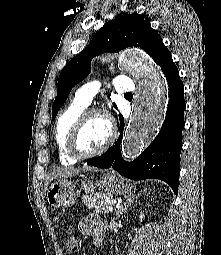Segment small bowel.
I'll list each match as a JSON object with an SVG mask.
<instances>
[{
	"label": "small bowel",
	"mask_w": 221,
	"mask_h": 255,
	"mask_svg": "<svg viewBox=\"0 0 221 255\" xmlns=\"http://www.w3.org/2000/svg\"><path fill=\"white\" fill-rule=\"evenodd\" d=\"M79 230L83 235H91L93 241L101 239L104 234L102 222L99 217L95 215H89L83 218L79 223ZM77 248V239L72 237L67 243V249L69 253H73Z\"/></svg>",
	"instance_id": "small-bowel-1"
}]
</instances>
